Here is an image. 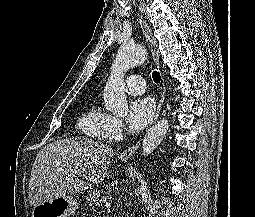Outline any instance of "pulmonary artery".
Returning a JSON list of instances; mask_svg holds the SVG:
<instances>
[{
    "label": "pulmonary artery",
    "mask_w": 255,
    "mask_h": 217,
    "mask_svg": "<svg viewBox=\"0 0 255 217\" xmlns=\"http://www.w3.org/2000/svg\"><path fill=\"white\" fill-rule=\"evenodd\" d=\"M126 89L129 93L134 95L143 94L146 90V83L142 76L132 74L125 80Z\"/></svg>",
    "instance_id": "1"
}]
</instances>
